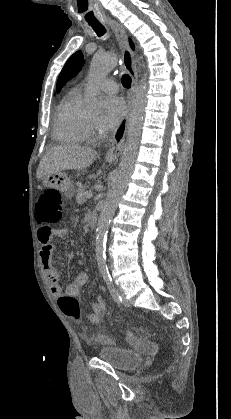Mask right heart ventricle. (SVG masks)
Masks as SVG:
<instances>
[{
    "mask_svg": "<svg viewBox=\"0 0 231 419\" xmlns=\"http://www.w3.org/2000/svg\"><path fill=\"white\" fill-rule=\"evenodd\" d=\"M53 134L56 140L67 144H81L87 141V116L82 110V96L78 91L70 92L59 104Z\"/></svg>",
    "mask_w": 231,
    "mask_h": 419,
    "instance_id": "e07e8e85",
    "label": "right heart ventricle"
}]
</instances>
